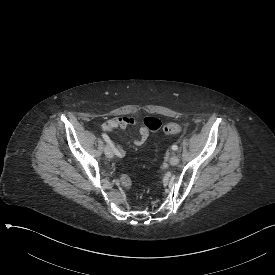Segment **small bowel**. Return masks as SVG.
Here are the masks:
<instances>
[{
    "label": "small bowel",
    "mask_w": 275,
    "mask_h": 275,
    "mask_svg": "<svg viewBox=\"0 0 275 275\" xmlns=\"http://www.w3.org/2000/svg\"><path fill=\"white\" fill-rule=\"evenodd\" d=\"M134 119L131 117H126V118H122V117H117L113 120H108L106 123L103 124V129L104 130H108V131H113L115 128L119 127V128H124L125 125L127 126H131L134 124ZM142 126L145 128L142 129L140 131V138H138L135 141V145L136 146H142L144 144V142L146 141L148 135L152 134V131H156L157 129L160 128V123L155 119V118H151V117H146L143 121H142ZM122 152V151H120Z\"/></svg>",
    "instance_id": "small-bowel-1"
}]
</instances>
